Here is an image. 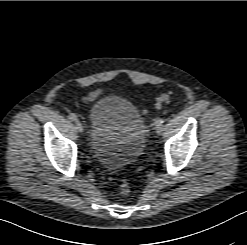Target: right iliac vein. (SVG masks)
<instances>
[{
	"label": "right iliac vein",
	"instance_id": "63e3f726",
	"mask_svg": "<svg viewBox=\"0 0 247 245\" xmlns=\"http://www.w3.org/2000/svg\"><path fill=\"white\" fill-rule=\"evenodd\" d=\"M75 125L78 132L82 133L84 131V127L79 121H76Z\"/></svg>",
	"mask_w": 247,
	"mask_h": 245
}]
</instances>
